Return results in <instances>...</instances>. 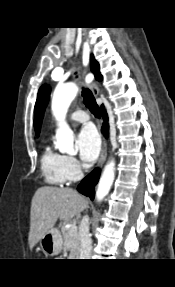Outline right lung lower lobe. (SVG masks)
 <instances>
[{
	"instance_id": "1",
	"label": "right lung lower lobe",
	"mask_w": 175,
	"mask_h": 287,
	"mask_svg": "<svg viewBox=\"0 0 175 287\" xmlns=\"http://www.w3.org/2000/svg\"><path fill=\"white\" fill-rule=\"evenodd\" d=\"M102 116L105 121L108 120V116L104 106L102 105ZM102 133L106 136L108 134V124L103 123V127L101 129ZM100 170L94 169L89 175H87L82 182L78 185L77 189L80 193L85 196L90 197L91 200L94 199L95 191L94 187L99 180Z\"/></svg>"
}]
</instances>
